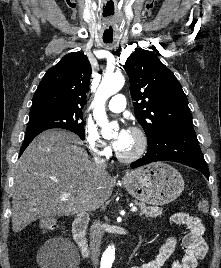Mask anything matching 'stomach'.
<instances>
[{"instance_id":"stomach-1","label":"stomach","mask_w":221,"mask_h":268,"mask_svg":"<svg viewBox=\"0 0 221 268\" xmlns=\"http://www.w3.org/2000/svg\"><path fill=\"white\" fill-rule=\"evenodd\" d=\"M123 185L135 199L158 206L174 201L184 189V180L172 166L156 162L126 172Z\"/></svg>"}]
</instances>
